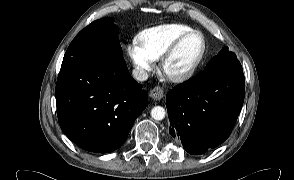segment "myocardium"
Here are the masks:
<instances>
[{"instance_id": "f54148a6", "label": "myocardium", "mask_w": 294, "mask_h": 180, "mask_svg": "<svg viewBox=\"0 0 294 180\" xmlns=\"http://www.w3.org/2000/svg\"><path fill=\"white\" fill-rule=\"evenodd\" d=\"M192 36H199L201 39V50L193 63L189 66L188 69H186L184 72L177 74V75H170L166 72L165 68L167 63L170 61V59L175 55V53L178 51L179 47L190 37ZM206 53V40L202 32L198 30H191L184 35L180 36L176 41H174L169 48L164 52V54L160 58L159 62V71L160 73L170 82L173 83H183L187 80H189L197 70L198 66L202 62L204 56Z\"/></svg>"}]
</instances>
